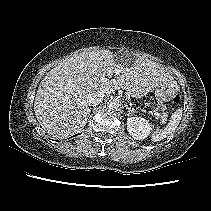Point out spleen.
Wrapping results in <instances>:
<instances>
[{"instance_id":"3e777b00","label":"spleen","mask_w":211,"mask_h":211,"mask_svg":"<svg viewBox=\"0 0 211 211\" xmlns=\"http://www.w3.org/2000/svg\"><path fill=\"white\" fill-rule=\"evenodd\" d=\"M181 118L182 109H178L172 114L170 121L166 125V127H164L163 129H159V127H157V130L152 134V140L154 142H158L174 133L181 121Z\"/></svg>"}]
</instances>
